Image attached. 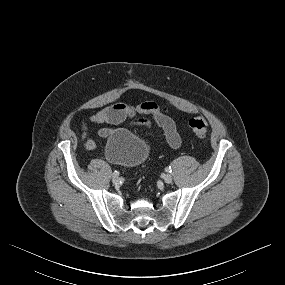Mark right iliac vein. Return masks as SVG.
I'll return each mask as SVG.
<instances>
[{
    "label": "right iliac vein",
    "mask_w": 285,
    "mask_h": 285,
    "mask_svg": "<svg viewBox=\"0 0 285 285\" xmlns=\"http://www.w3.org/2000/svg\"><path fill=\"white\" fill-rule=\"evenodd\" d=\"M119 181H120V178H119L118 176H113V177H112V182H113L114 184H119Z\"/></svg>",
    "instance_id": "right-iliac-vein-1"
}]
</instances>
